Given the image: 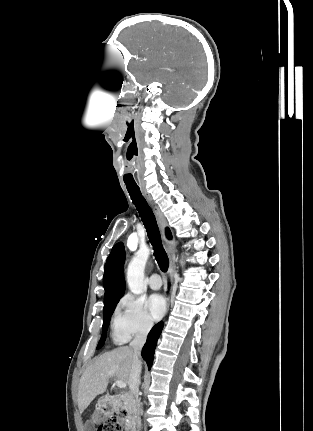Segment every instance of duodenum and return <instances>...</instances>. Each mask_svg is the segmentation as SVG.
Here are the masks:
<instances>
[{
    "mask_svg": "<svg viewBox=\"0 0 313 431\" xmlns=\"http://www.w3.org/2000/svg\"><path fill=\"white\" fill-rule=\"evenodd\" d=\"M115 400L118 404H125L130 410V413L126 419L128 431H137V428H138L137 406L133 397L130 394L125 393V394L116 396Z\"/></svg>",
    "mask_w": 313,
    "mask_h": 431,
    "instance_id": "obj_1",
    "label": "duodenum"
}]
</instances>
